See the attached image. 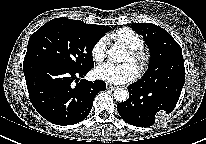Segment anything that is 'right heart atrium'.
<instances>
[{
	"instance_id": "right-heart-atrium-1",
	"label": "right heart atrium",
	"mask_w": 206,
	"mask_h": 144,
	"mask_svg": "<svg viewBox=\"0 0 206 144\" xmlns=\"http://www.w3.org/2000/svg\"><path fill=\"white\" fill-rule=\"evenodd\" d=\"M108 39L107 37H101L95 42L92 47L91 54L96 62H101L107 55Z\"/></svg>"
}]
</instances>
